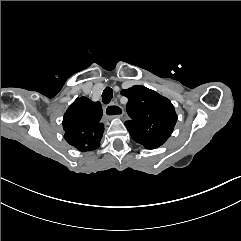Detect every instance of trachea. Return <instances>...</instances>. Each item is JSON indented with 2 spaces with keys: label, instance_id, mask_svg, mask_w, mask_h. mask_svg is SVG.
<instances>
[{
  "label": "trachea",
  "instance_id": "3493384b",
  "mask_svg": "<svg viewBox=\"0 0 241 241\" xmlns=\"http://www.w3.org/2000/svg\"><path fill=\"white\" fill-rule=\"evenodd\" d=\"M113 97V90L111 89L110 86H106L103 93H102V101L105 104L110 103Z\"/></svg>",
  "mask_w": 241,
  "mask_h": 241
}]
</instances>
